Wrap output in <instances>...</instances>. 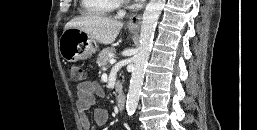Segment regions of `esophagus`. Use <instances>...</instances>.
<instances>
[{"label": "esophagus", "mask_w": 257, "mask_h": 130, "mask_svg": "<svg viewBox=\"0 0 257 130\" xmlns=\"http://www.w3.org/2000/svg\"><path fill=\"white\" fill-rule=\"evenodd\" d=\"M142 16L140 14H135L127 22V27L131 29H138L141 25Z\"/></svg>", "instance_id": "1"}]
</instances>
